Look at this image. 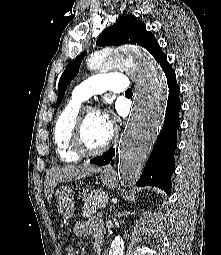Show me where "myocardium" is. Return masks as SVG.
I'll list each match as a JSON object with an SVG mask.
<instances>
[{"label": "myocardium", "mask_w": 221, "mask_h": 255, "mask_svg": "<svg viewBox=\"0 0 221 255\" xmlns=\"http://www.w3.org/2000/svg\"><path fill=\"white\" fill-rule=\"evenodd\" d=\"M90 112L98 113V110L88 109L83 114H81L77 120L73 132V148L76 151V153H78L82 157L97 156L104 153L111 146L115 138V130L113 129V127H111L109 138L101 147L97 149H90L86 146L84 140V125L86 116Z\"/></svg>", "instance_id": "obj_1"}]
</instances>
